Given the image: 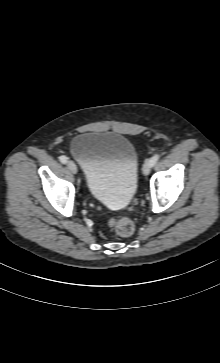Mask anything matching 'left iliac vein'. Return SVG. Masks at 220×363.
<instances>
[{
	"label": "left iliac vein",
	"mask_w": 220,
	"mask_h": 363,
	"mask_svg": "<svg viewBox=\"0 0 220 363\" xmlns=\"http://www.w3.org/2000/svg\"><path fill=\"white\" fill-rule=\"evenodd\" d=\"M150 170H151V165L149 163V160H146L142 167L143 174L148 175L150 173Z\"/></svg>",
	"instance_id": "obj_1"
}]
</instances>
